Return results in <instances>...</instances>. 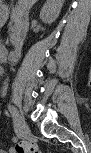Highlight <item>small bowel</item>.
<instances>
[{
  "label": "small bowel",
  "mask_w": 91,
  "mask_h": 153,
  "mask_svg": "<svg viewBox=\"0 0 91 153\" xmlns=\"http://www.w3.org/2000/svg\"><path fill=\"white\" fill-rule=\"evenodd\" d=\"M6 93V87L4 86L3 87V90H2V94L4 95ZM16 139H13V141H15ZM9 152L10 153H14V149L13 148H11L10 150H9Z\"/></svg>",
  "instance_id": "small-bowel-1"
}]
</instances>
